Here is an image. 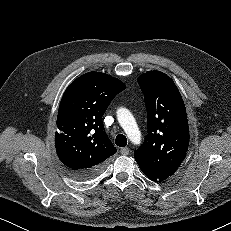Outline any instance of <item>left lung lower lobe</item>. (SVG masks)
Instances as JSON below:
<instances>
[{
	"label": "left lung lower lobe",
	"mask_w": 231,
	"mask_h": 231,
	"mask_svg": "<svg viewBox=\"0 0 231 231\" xmlns=\"http://www.w3.org/2000/svg\"><path fill=\"white\" fill-rule=\"evenodd\" d=\"M140 169L142 170V172L152 181L154 182H161L163 180H165L166 178H168L169 176H165L162 174H159L153 170H151L150 168H148L147 166L143 165L140 162H137Z\"/></svg>",
	"instance_id": "left-lung-lower-lobe-1"
}]
</instances>
